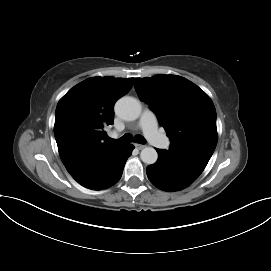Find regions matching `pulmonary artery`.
<instances>
[{"mask_svg": "<svg viewBox=\"0 0 271 271\" xmlns=\"http://www.w3.org/2000/svg\"><path fill=\"white\" fill-rule=\"evenodd\" d=\"M139 127L146 138L160 148H168L169 141L158 131L156 115L151 110H145L139 120Z\"/></svg>", "mask_w": 271, "mask_h": 271, "instance_id": "pulmonary-artery-1", "label": "pulmonary artery"}]
</instances>
